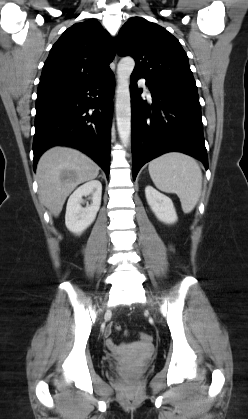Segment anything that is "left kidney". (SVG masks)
I'll use <instances>...</instances> for the list:
<instances>
[{"label": "left kidney", "mask_w": 248, "mask_h": 419, "mask_svg": "<svg viewBox=\"0 0 248 419\" xmlns=\"http://www.w3.org/2000/svg\"><path fill=\"white\" fill-rule=\"evenodd\" d=\"M145 195L151 210L155 216L165 224H174L177 221V214L172 200L160 193L152 186L145 188Z\"/></svg>", "instance_id": "5707ae66"}]
</instances>
